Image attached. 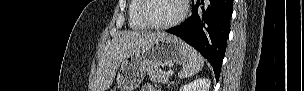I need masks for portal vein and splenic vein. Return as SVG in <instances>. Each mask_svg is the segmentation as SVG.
<instances>
[{
	"mask_svg": "<svg viewBox=\"0 0 304 91\" xmlns=\"http://www.w3.org/2000/svg\"><path fill=\"white\" fill-rule=\"evenodd\" d=\"M168 74L172 75L173 74V70H168Z\"/></svg>",
	"mask_w": 304,
	"mask_h": 91,
	"instance_id": "18ae733b",
	"label": "portal vein and splenic vein"
}]
</instances>
